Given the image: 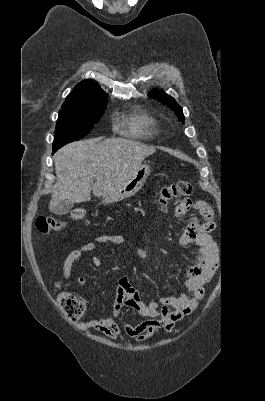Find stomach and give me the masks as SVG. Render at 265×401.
I'll return each mask as SVG.
<instances>
[{"mask_svg": "<svg viewBox=\"0 0 265 401\" xmlns=\"http://www.w3.org/2000/svg\"><path fill=\"white\" fill-rule=\"evenodd\" d=\"M150 166L143 162V164H139L138 168L134 170L132 176L121 184L120 188H116L113 192H109L106 196H102L101 203L104 205H109V203H117V201H123V198H129V196H133L136 194L138 190H140L141 186H143L146 178H148L150 174Z\"/></svg>", "mask_w": 265, "mask_h": 401, "instance_id": "0dacf381", "label": "stomach"}]
</instances>
